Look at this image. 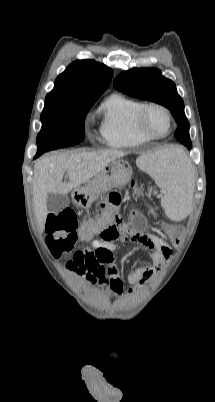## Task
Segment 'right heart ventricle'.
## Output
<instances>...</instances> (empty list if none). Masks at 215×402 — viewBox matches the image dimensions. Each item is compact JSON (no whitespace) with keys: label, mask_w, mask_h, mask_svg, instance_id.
I'll list each match as a JSON object with an SVG mask.
<instances>
[{"label":"right heart ventricle","mask_w":215,"mask_h":402,"mask_svg":"<svg viewBox=\"0 0 215 402\" xmlns=\"http://www.w3.org/2000/svg\"><path fill=\"white\" fill-rule=\"evenodd\" d=\"M141 102L122 94H112L98 109L101 116L99 134L106 146L128 149L142 146L151 139L136 127V114Z\"/></svg>","instance_id":"1"}]
</instances>
